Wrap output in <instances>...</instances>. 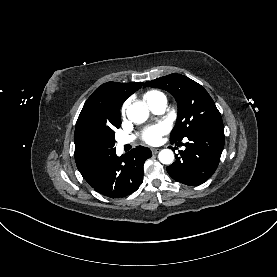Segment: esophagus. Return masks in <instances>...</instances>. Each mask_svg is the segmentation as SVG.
Here are the masks:
<instances>
[{
  "instance_id": "1",
  "label": "esophagus",
  "mask_w": 277,
  "mask_h": 277,
  "mask_svg": "<svg viewBox=\"0 0 277 277\" xmlns=\"http://www.w3.org/2000/svg\"><path fill=\"white\" fill-rule=\"evenodd\" d=\"M151 151H152L153 154H157L160 151V149L159 148H152Z\"/></svg>"
}]
</instances>
